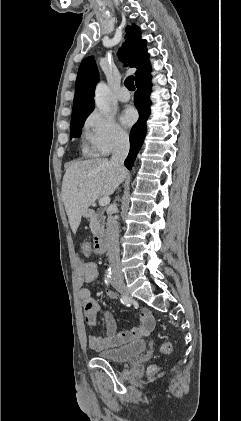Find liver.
Wrapping results in <instances>:
<instances>
[{
    "instance_id": "6515ba94",
    "label": "liver",
    "mask_w": 241,
    "mask_h": 421,
    "mask_svg": "<svg viewBox=\"0 0 241 421\" xmlns=\"http://www.w3.org/2000/svg\"><path fill=\"white\" fill-rule=\"evenodd\" d=\"M126 170H119L104 158L72 163L62 182V200L75 234L85 211L103 195L114 193L126 176Z\"/></svg>"
}]
</instances>
